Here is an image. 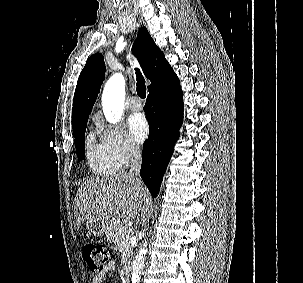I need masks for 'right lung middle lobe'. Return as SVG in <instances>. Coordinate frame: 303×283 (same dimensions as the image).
<instances>
[{
    "instance_id": "dd1d6c3e",
    "label": "right lung middle lobe",
    "mask_w": 303,
    "mask_h": 283,
    "mask_svg": "<svg viewBox=\"0 0 303 283\" xmlns=\"http://www.w3.org/2000/svg\"><path fill=\"white\" fill-rule=\"evenodd\" d=\"M87 121L73 127V136L75 138V147L78 159L81 161L85 158V130Z\"/></svg>"
}]
</instances>
